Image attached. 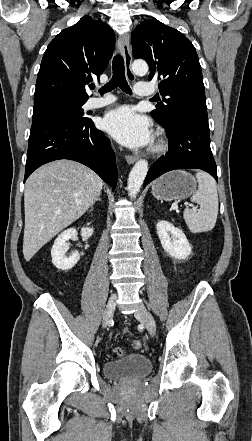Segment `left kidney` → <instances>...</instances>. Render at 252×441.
<instances>
[{"instance_id":"left-kidney-1","label":"left kidney","mask_w":252,"mask_h":441,"mask_svg":"<svg viewBox=\"0 0 252 441\" xmlns=\"http://www.w3.org/2000/svg\"><path fill=\"white\" fill-rule=\"evenodd\" d=\"M156 229L163 249L171 257L186 259L191 254V246L182 230L166 220L159 221Z\"/></svg>"}]
</instances>
